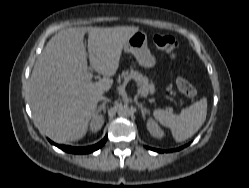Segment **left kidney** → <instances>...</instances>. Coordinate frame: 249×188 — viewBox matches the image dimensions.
<instances>
[{
	"label": "left kidney",
	"mask_w": 249,
	"mask_h": 188,
	"mask_svg": "<svg viewBox=\"0 0 249 188\" xmlns=\"http://www.w3.org/2000/svg\"><path fill=\"white\" fill-rule=\"evenodd\" d=\"M147 129L155 138H162L164 136V131L153 119H149L147 121Z\"/></svg>",
	"instance_id": "obj_1"
}]
</instances>
